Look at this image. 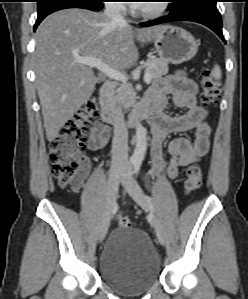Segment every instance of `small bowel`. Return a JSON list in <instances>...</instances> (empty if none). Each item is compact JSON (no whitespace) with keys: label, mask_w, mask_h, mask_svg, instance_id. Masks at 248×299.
Here are the masks:
<instances>
[{"label":"small bowel","mask_w":248,"mask_h":299,"mask_svg":"<svg viewBox=\"0 0 248 299\" xmlns=\"http://www.w3.org/2000/svg\"><path fill=\"white\" fill-rule=\"evenodd\" d=\"M197 85L187 75L176 73L164 77L154 84L147 93V99L152 104L151 128L153 142L151 146L152 168L158 175L166 172L171 178L178 175L179 170L205 156L210 147L211 129L205 121L206 111L196 100ZM169 97L178 109L185 112L180 115H167L164 110ZM195 131V140L174 138L168 145L170 155L166 166L163 159V142L169 134L176 132ZM109 128L95 122L90 128L88 147L92 151L103 149L109 141ZM85 175L89 169V161L82 160Z\"/></svg>","instance_id":"small-bowel-1"}]
</instances>
